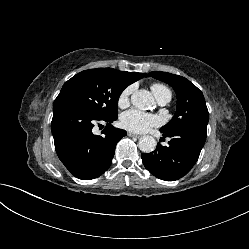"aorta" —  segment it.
Segmentation results:
<instances>
[{
  "mask_svg": "<svg viewBox=\"0 0 249 249\" xmlns=\"http://www.w3.org/2000/svg\"><path fill=\"white\" fill-rule=\"evenodd\" d=\"M131 102L136 108L147 109L154 104V99L149 91L140 89L135 91L131 95ZM156 145H157L156 140L152 136L145 135L139 139L138 146L140 150L143 152L146 153L152 152L153 150H155Z\"/></svg>",
  "mask_w": 249,
  "mask_h": 249,
  "instance_id": "762f6f07",
  "label": "aorta"
}]
</instances>
